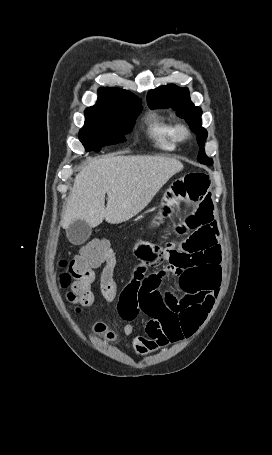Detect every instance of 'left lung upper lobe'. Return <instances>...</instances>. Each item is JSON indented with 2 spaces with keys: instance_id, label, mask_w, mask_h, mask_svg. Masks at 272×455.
I'll return each mask as SVG.
<instances>
[{
  "instance_id": "5c2ea615",
  "label": "left lung upper lobe",
  "mask_w": 272,
  "mask_h": 455,
  "mask_svg": "<svg viewBox=\"0 0 272 455\" xmlns=\"http://www.w3.org/2000/svg\"><path fill=\"white\" fill-rule=\"evenodd\" d=\"M147 101L151 109L170 107L176 111L179 117L184 118L190 129L197 135V142L201 147L198 161L209 165L213 163L204 152L203 144L207 138V131L202 127V110L191 102L188 88H181L173 84L161 86L149 91Z\"/></svg>"
}]
</instances>
